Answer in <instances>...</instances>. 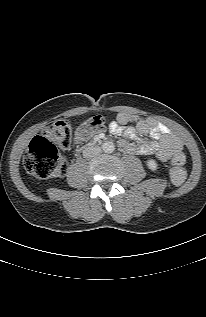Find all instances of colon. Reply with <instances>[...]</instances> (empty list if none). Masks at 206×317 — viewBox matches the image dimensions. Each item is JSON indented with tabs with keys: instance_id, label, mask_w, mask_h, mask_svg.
Segmentation results:
<instances>
[{
	"instance_id": "obj_1",
	"label": "colon",
	"mask_w": 206,
	"mask_h": 317,
	"mask_svg": "<svg viewBox=\"0 0 206 317\" xmlns=\"http://www.w3.org/2000/svg\"><path fill=\"white\" fill-rule=\"evenodd\" d=\"M105 128L103 116H92L83 122L78 130L77 137L86 139L102 132ZM72 141V131L67 121H57L46 127L44 131L34 137L28 146L24 157L27 171L43 179H55L64 176L67 163L58 147L67 148ZM185 156L175 155L171 161V179L176 185L182 184L187 176L184 168Z\"/></svg>"
}]
</instances>
